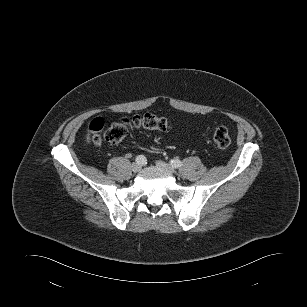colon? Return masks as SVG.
I'll return each mask as SVG.
<instances>
[{"instance_id": "5ec220e1", "label": "colon", "mask_w": 307, "mask_h": 307, "mask_svg": "<svg viewBox=\"0 0 307 307\" xmlns=\"http://www.w3.org/2000/svg\"><path fill=\"white\" fill-rule=\"evenodd\" d=\"M170 122L152 113L135 115L132 118H122L113 123L104 133L103 137L111 145L119 144L127 135L130 127L144 128L148 130L166 131L170 128ZM104 128L102 118H94L89 124L91 140L94 143L100 141V133ZM213 141L221 149L227 148L231 143L229 132L224 126H216L213 130Z\"/></svg>"}]
</instances>
